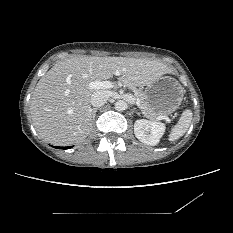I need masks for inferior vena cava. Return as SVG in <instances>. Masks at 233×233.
<instances>
[{
	"label": "inferior vena cava",
	"instance_id": "1",
	"mask_svg": "<svg viewBox=\"0 0 233 233\" xmlns=\"http://www.w3.org/2000/svg\"><path fill=\"white\" fill-rule=\"evenodd\" d=\"M109 98H110L109 90H97L91 96V105L93 107L99 108L103 106Z\"/></svg>",
	"mask_w": 233,
	"mask_h": 233
}]
</instances>
